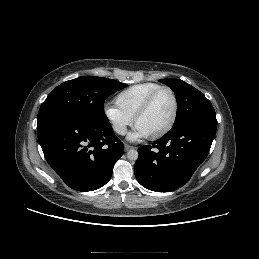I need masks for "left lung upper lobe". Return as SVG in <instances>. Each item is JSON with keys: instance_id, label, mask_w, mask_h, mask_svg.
Segmentation results:
<instances>
[{"instance_id": "5c2ea615", "label": "left lung upper lobe", "mask_w": 259, "mask_h": 259, "mask_svg": "<svg viewBox=\"0 0 259 259\" xmlns=\"http://www.w3.org/2000/svg\"><path fill=\"white\" fill-rule=\"evenodd\" d=\"M169 86L177 100V115L174 125L190 120H206L217 123L216 113L211 102L199 90L180 79H161Z\"/></svg>"}]
</instances>
